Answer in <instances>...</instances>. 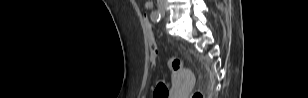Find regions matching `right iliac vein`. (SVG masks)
Listing matches in <instances>:
<instances>
[{"label": "right iliac vein", "instance_id": "1", "mask_svg": "<svg viewBox=\"0 0 308 98\" xmlns=\"http://www.w3.org/2000/svg\"><path fill=\"white\" fill-rule=\"evenodd\" d=\"M158 9H159V11H160L162 14H164L165 11H166L165 6H163V5L159 6Z\"/></svg>", "mask_w": 308, "mask_h": 98}]
</instances>
